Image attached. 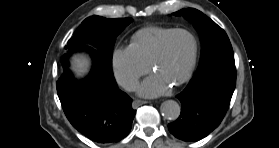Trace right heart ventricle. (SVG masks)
Returning <instances> with one entry per match:
<instances>
[{
  "mask_svg": "<svg viewBox=\"0 0 279 148\" xmlns=\"http://www.w3.org/2000/svg\"><path fill=\"white\" fill-rule=\"evenodd\" d=\"M172 30H174V28H144L135 34L131 47L146 64L150 65L162 40Z\"/></svg>",
  "mask_w": 279,
  "mask_h": 148,
  "instance_id": "right-heart-ventricle-1",
  "label": "right heart ventricle"
}]
</instances>
